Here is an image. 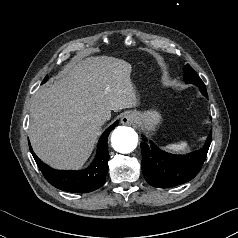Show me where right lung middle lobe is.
Masks as SVG:
<instances>
[{
	"instance_id": "dd1d6c3e",
	"label": "right lung middle lobe",
	"mask_w": 238,
	"mask_h": 238,
	"mask_svg": "<svg viewBox=\"0 0 238 238\" xmlns=\"http://www.w3.org/2000/svg\"><path fill=\"white\" fill-rule=\"evenodd\" d=\"M48 80V76L45 77L42 83H45Z\"/></svg>"
}]
</instances>
